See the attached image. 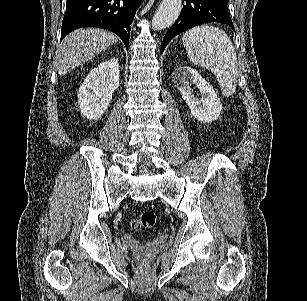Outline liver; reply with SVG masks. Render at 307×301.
Segmentation results:
<instances>
[{"instance_id": "liver-1", "label": "liver", "mask_w": 307, "mask_h": 301, "mask_svg": "<svg viewBox=\"0 0 307 301\" xmlns=\"http://www.w3.org/2000/svg\"><path fill=\"white\" fill-rule=\"evenodd\" d=\"M118 42V36L103 28H77L63 38V42L56 50L54 64L58 74H66L83 62L93 58L107 46Z\"/></svg>"}]
</instances>
